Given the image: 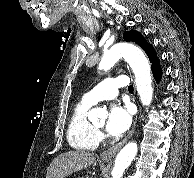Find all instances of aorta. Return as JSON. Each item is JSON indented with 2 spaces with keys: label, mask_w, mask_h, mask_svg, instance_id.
<instances>
[{
  "label": "aorta",
  "mask_w": 194,
  "mask_h": 178,
  "mask_svg": "<svg viewBox=\"0 0 194 178\" xmlns=\"http://www.w3.org/2000/svg\"><path fill=\"white\" fill-rule=\"evenodd\" d=\"M123 57L133 70L135 83L140 100L144 106H149L152 101L153 88L151 86V68L148 59L137 46L130 43H119L112 46L102 57L99 63L100 70H109L119 59ZM103 110L92 109L88 114V119H97ZM138 147L134 142L126 144L118 153L114 167L111 172L112 178H122L125 169L132 163L137 154Z\"/></svg>",
  "instance_id": "762f6f07"
}]
</instances>
